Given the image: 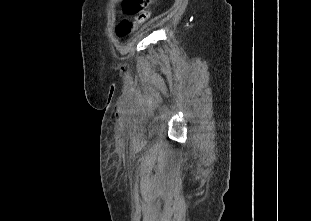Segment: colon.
<instances>
[{"label": "colon", "instance_id": "5ec220e1", "mask_svg": "<svg viewBox=\"0 0 311 221\" xmlns=\"http://www.w3.org/2000/svg\"><path fill=\"white\" fill-rule=\"evenodd\" d=\"M150 0H123V10L126 16H134L133 20L126 21L123 19L117 26L116 33L120 37L126 36L133 27L146 23L150 16L148 8ZM125 16V17H126Z\"/></svg>", "mask_w": 311, "mask_h": 221}]
</instances>
